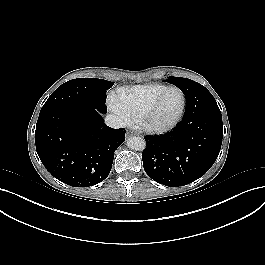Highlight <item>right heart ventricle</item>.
<instances>
[{"label":"right heart ventricle","mask_w":265,"mask_h":265,"mask_svg":"<svg viewBox=\"0 0 265 265\" xmlns=\"http://www.w3.org/2000/svg\"><path fill=\"white\" fill-rule=\"evenodd\" d=\"M167 86L163 84H145L130 88H120L117 98L120 106L130 119L140 122L155 97Z\"/></svg>","instance_id":"e07e8e85"}]
</instances>
